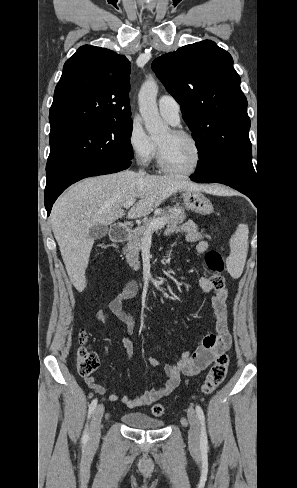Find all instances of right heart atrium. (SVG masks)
<instances>
[{"mask_svg": "<svg viewBox=\"0 0 297 488\" xmlns=\"http://www.w3.org/2000/svg\"><path fill=\"white\" fill-rule=\"evenodd\" d=\"M127 143L134 157L141 163L149 162L156 152V144L147 135L139 118L131 121Z\"/></svg>", "mask_w": 297, "mask_h": 488, "instance_id": "1", "label": "right heart atrium"}]
</instances>
